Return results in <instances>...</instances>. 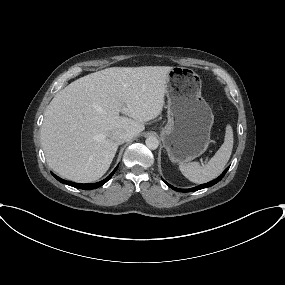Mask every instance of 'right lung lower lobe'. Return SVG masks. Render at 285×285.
Returning a JSON list of instances; mask_svg holds the SVG:
<instances>
[{
	"instance_id": "obj_1",
	"label": "right lung lower lobe",
	"mask_w": 285,
	"mask_h": 285,
	"mask_svg": "<svg viewBox=\"0 0 285 285\" xmlns=\"http://www.w3.org/2000/svg\"><path fill=\"white\" fill-rule=\"evenodd\" d=\"M118 166L114 169V171L104 180L97 182V183H93V184H78V183H74V182H69L66 180L61 179L60 177L56 176L55 174L51 173L58 181L73 186L75 188H79V189H85V190H90V189H95L98 188L100 186H102L103 184H105L115 173V171L117 170Z\"/></svg>"
}]
</instances>
